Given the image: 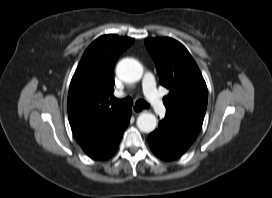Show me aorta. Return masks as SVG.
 Listing matches in <instances>:
<instances>
[{"label": "aorta", "mask_w": 272, "mask_h": 198, "mask_svg": "<svg viewBox=\"0 0 272 198\" xmlns=\"http://www.w3.org/2000/svg\"><path fill=\"white\" fill-rule=\"evenodd\" d=\"M116 74L124 82H137L143 75V67L137 60L125 58L117 64ZM137 126L140 131L150 133L155 130L157 119L152 113H142L137 118Z\"/></svg>", "instance_id": "aorta-1"}]
</instances>
